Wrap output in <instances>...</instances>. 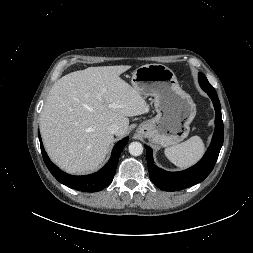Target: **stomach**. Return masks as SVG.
<instances>
[{
  "mask_svg": "<svg viewBox=\"0 0 253 253\" xmlns=\"http://www.w3.org/2000/svg\"><path fill=\"white\" fill-rule=\"evenodd\" d=\"M131 84L141 95L154 97L157 112L138 126L137 133L163 147L183 141L189 134L196 106L181 89L174 72L163 64H146L135 69Z\"/></svg>",
  "mask_w": 253,
  "mask_h": 253,
  "instance_id": "stomach-1",
  "label": "stomach"
}]
</instances>
